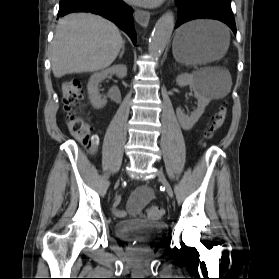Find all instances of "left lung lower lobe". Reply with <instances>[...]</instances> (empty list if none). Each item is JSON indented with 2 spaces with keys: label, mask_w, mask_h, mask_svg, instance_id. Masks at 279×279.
Wrapping results in <instances>:
<instances>
[{
  "label": "left lung lower lobe",
  "mask_w": 279,
  "mask_h": 279,
  "mask_svg": "<svg viewBox=\"0 0 279 279\" xmlns=\"http://www.w3.org/2000/svg\"><path fill=\"white\" fill-rule=\"evenodd\" d=\"M176 27L198 18L216 19L227 24L236 35V25L231 10V0H177Z\"/></svg>",
  "instance_id": "left-lung-lower-lobe-1"
}]
</instances>
